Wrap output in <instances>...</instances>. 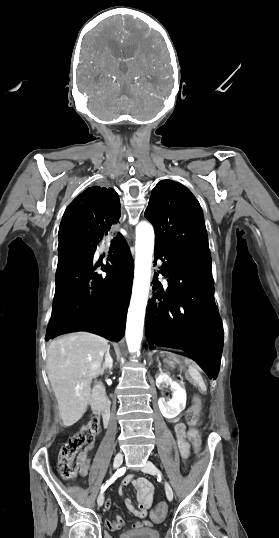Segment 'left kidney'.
<instances>
[{
    "label": "left kidney",
    "instance_id": "5707ae66",
    "mask_svg": "<svg viewBox=\"0 0 279 538\" xmlns=\"http://www.w3.org/2000/svg\"><path fill=\"white\" fill-rule=\"evenodd\" d=\"M162 384H170L171 390H173V398L172 400H169V402H166L165 398H160L158 406L162 416H164V418H168V420H172V418H176L180 412L185 410L187 400L186 390L184 386H180V384H177V382H172L168 374H163V372H160L158 378H156L157 388H160Z\"/></svg>",
    "mask_w": 279,
    "mask_h": 538
}]
</instances>
